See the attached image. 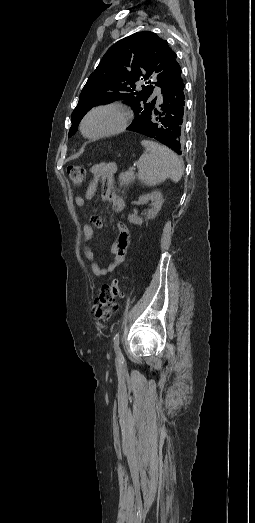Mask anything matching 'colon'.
<instances>
[{"label":"colon","instance_id":"5ec220e1","mask_svg":"<svg viewBox=\"0 0 255 523\" xmlns=\"http://www.w3.org/2000/svg\"><path fill=\"white\" fill-rule=\"evenodd\" d=\"M67 173L73 185L81 186L85 178V170L78 165L67 168ZM123 296V286L118 278L103 284L95 300L94 312L96 317L107 320L117 309L118 302Z\"/></svg>","mask_w":255,"mask_h":523}]
</instances>
